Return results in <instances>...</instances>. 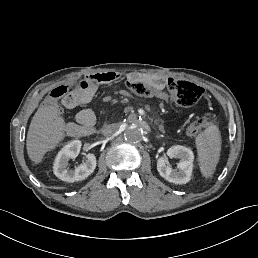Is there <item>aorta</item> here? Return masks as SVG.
Masks as SVG:
<instances>
[{
  "instance_id": "762f6f07",
  "label": "aorta",
  "mask_w": 258,
  "mask_h": 258,
  "mask_svg": "<svg viewBox=\"0 0 258 258\" xmlns=\"http://www.w3.org/2000/svg\"><path fill=\"white\" fill-rule=\"evenodd\" d=\"M124 136L130 142H138L143 138V129L138 124L132 123L127 126Z\"/></svg>"
}]
</instances>
